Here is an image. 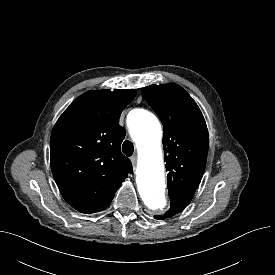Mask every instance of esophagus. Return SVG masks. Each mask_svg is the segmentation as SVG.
Wrapping results in <instances>:
<instances>
[{
    "label": "esophagus",
    "instance_id": "34e87169",
    "mask_svg": "<svg viewBox=\"0 0 275 275\" xmlns=\"http://www.w3.org/2000/svg\"><path fill=\"white\" fill-rule=\"evenodd\" d=\"M130 160H131L133 166H135V165H136V162H137V156H136V155H132V156L130 157Z\"/></svg>",
    "mask_w": 275,
    "mask_h": 275
}]
</instances>
